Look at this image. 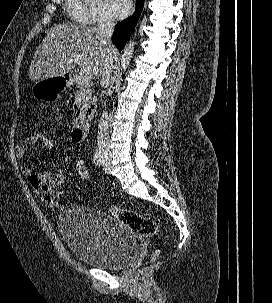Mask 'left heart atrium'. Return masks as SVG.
Returning a JSON list of instances; mask_svg holds the SVG:
<instances>
[{"instance_id":"obj_1","label":"left heart atrium","mask_w":272,"mask_h":303,"mask_svg":"<svg viewBox=\"0 0 272 303\" xmlns=\"http://www.w3.org/2000/svg\"><path fill=\"white\" fill-rule=\"evenodd\" d=\"M111 15L116 19L126 17L131 9L130 0H107Z\"/></svg>"}]
</instances>
